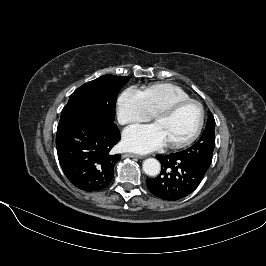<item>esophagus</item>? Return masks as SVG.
<instances>
[{"instance_id":"1","label":"esophagus","mask_w":266,"mask_h":266,"mask_svg":"<svg viewBox=\"0 0 266 266\" xmlns=\"http://www.w3.org/2000/svg\"><path fill=\"white\" fill-rule=\"evenodd\" d=\"M125 156L132 157V158H144L145 157V156H142V155H137V154H132V153H128Z\"/></svg>"}]
</instances>
